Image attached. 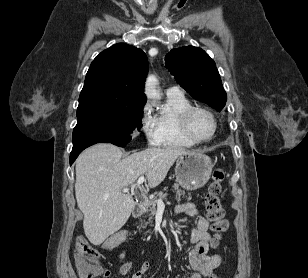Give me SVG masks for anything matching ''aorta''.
Listing matches in <instances>:
<instances>
[{
	"label": "aorta",
	"mask_w": 308,
	"mask_h": 278,
	"mask_svg": "<svg viewBox=\"0 0 308 278\" xmlns=\"http://www.w3.org/2000/svg\"><path fill=\"white\" fill-rule=\"evenodd\" d=\"M158 80L154 75H149L145 83V95L152 99H160V94L156 89Z\"/></svg>",
	"instance_id": "1"
}]
</instances>
